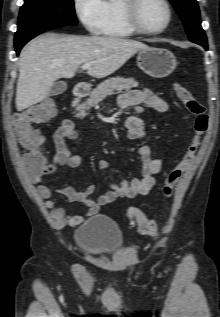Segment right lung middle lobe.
<instances>
[{"label": "right lung middle lobe", "mask_w": 220, "mask_h": 317, "mask_svg": "<svg viewBox=\"0 0 220 317\" xmlns=\"http://www.w3.org/2000/svg\"><path fill=\"white\" fill-rule=\"evenodd\" d=\"M15 40L47 26L76 25L73 0H24Z\"/></svg>", "instance_id": "dd1d6c3e"}]
</instances>
